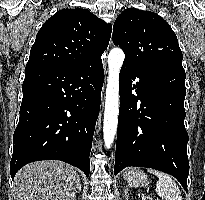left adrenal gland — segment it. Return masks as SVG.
<instances>
[{"mask_svg":"<svg viewBox=\"0 0 205 200\" xmlns=\"http://www.w3.org/2000/svg\"><path fill=\"white\" fill-rule=\"evenodd\" d=\"M124 193H125V199L127 200L128 197H129V194H130V193H129V189L126 188Z\"/></svg>","mask_w":205,"mask_h":200,"instance_id":"1","label":"left adrenal gland"}]
</instances>
